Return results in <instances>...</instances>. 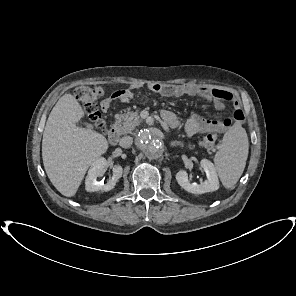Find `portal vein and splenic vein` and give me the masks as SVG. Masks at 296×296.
I'll return each instance as SVG.
<instances>
[{"instance_id": "18ae733b", "label": "portal vein and splenic vein", "mask_w": 296, "mask_h": 296, "mask_svg": "<svg viewBox=\"0 0 296 296\" xmlns=\"http://www.w3.org/2000/svg\"><path fill=\"white\" fill-rule=\"evenodd\" d=\"M165 130H166L167 132H170L169 128H168V127H166V126H165Z\"/></svg>"}]
</instances>
